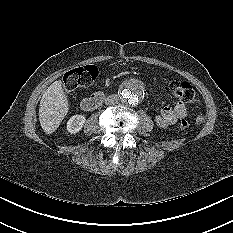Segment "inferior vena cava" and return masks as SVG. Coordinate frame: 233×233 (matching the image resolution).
<instances>
[{"label":"inferior vena cava","instance_id":"602c4592","mask_svg":"<svg viewBox=\"0 0 233 233\" xmlns=\"http://www.w3.org/2000/svg\"><path fill=\"white\" fill-rule=\"evenodd\" d=\"M119 101H120L119 96L116 95V94H112V95H110V96H108V97L106 98L105 104H106V105H116V104L119 103Z\"/></svg>","mask_w":233,"mask_h":233}]
</instances>
